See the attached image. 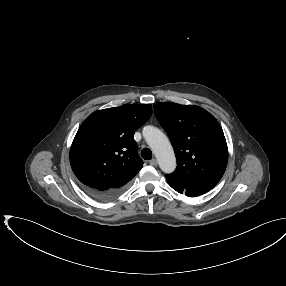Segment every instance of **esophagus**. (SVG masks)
<instances>
[{
    "label": "esophagus",
    "instance_id": "34e87169",
    "mask_svg": "<svg viewBox=\"0 0 286 286\" xmlns=\"http://www.w3.org/2000/svg\"><path fill=\"white\" fill-rule=\"evenodd\" d=\"M150 165L152 166H156L157 165V160L156 159H152L149 161Z\"/></svg>",
    "mask_w": 286,
    "mask_h": 286
}]
</instances>
